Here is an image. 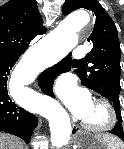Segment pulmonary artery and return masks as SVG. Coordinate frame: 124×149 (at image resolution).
I'll list each match as a JSON object with an SVG mask.
<instances>
[{
    "mask_svg": "<svg viewBox=\"0 0 124 149\" xmlns=\"http://www.w3.org/2000/svg\"><path fill=\"white\" fill-rule=\"evenodd\" d=\"M85 46L78 45L72 52L75 59H82L85 56Z\"/></svg>",
    "mask_w": 124,
    "mask_h": 149,
    "instance_id": "1",
    "label": "pulmonary artery"
}]
</instances>
